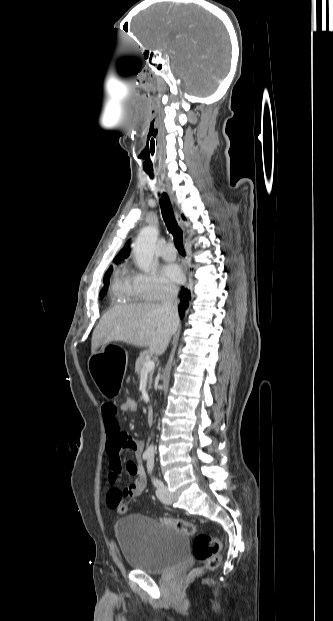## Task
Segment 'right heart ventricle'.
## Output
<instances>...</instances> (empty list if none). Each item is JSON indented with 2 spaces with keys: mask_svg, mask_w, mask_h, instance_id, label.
I'll list each match as a JSON object with an SVG mask.
<instances>
[{
  "mask_svg": "<svg viewBox=\"0 0 333 621\" xmlns=\"http://www.w3.org/2000/svg\"><path fill=\"white\" fill-rule=\"evenodd\" d=\"M111 295L113 299L120 302H136L140 300L133 287L132 276L126 267H122L115 273L111 285Z\"/></svg>",
  "mask_w": 333,
  "mask_h": 621,
  "instance_id": "right-heart-ventricle-1",
  "label": "right heart ventricle"
}]
</instances>
